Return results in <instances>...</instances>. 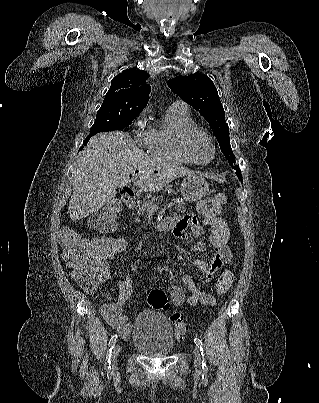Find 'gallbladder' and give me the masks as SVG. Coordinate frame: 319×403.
<instances>
[{"instance_id":"gallbladder-1","label":"gallbladder","mask_w":319,"mask_h":403,"mask_svg":"<svg viewBox=\"0 0 319 403\" xmlns=\"http://www.w3.org/2000/svg\"><path fill=\"white\" fill-rule=\"evenodd\" d=\"M105 209L107 210V211H115V202H113V203H109V204H107V206L105 207Z\"/></svg>"}]
</instances>
